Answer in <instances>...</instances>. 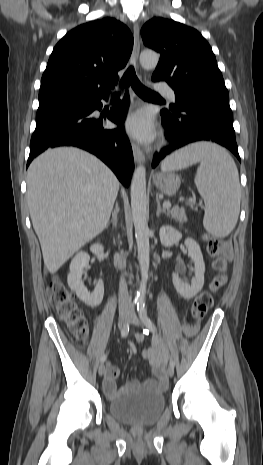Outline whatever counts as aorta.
Segmentation results:
<instances>
[{"label": "aorta", "instance_id": "1", "mask_svg": "<svg viewBox=\"0 0 263 465\" xmlns=\"http://www.w3.org/2000/svg\"><path fill=\"white\" fill-rule=\"evenodd\" d=\"M159 62V55L151 50L140 54V64L146 69L155 68ZM131 209L137 242L138 260L141 269V284L135 298L142 303L145 299L146 284L149 271V235L147 221V197H146V170L139 165L133 174L131 182Z\"/></svg>", "mask_w": 263, "mask_h": 465}]
</instances>
